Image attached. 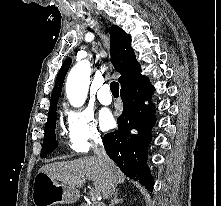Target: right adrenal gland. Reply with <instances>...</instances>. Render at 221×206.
Instances as JSON below:
<instances>
[{
	"instance_id": "1",
	"label": "right adrenal gland",
	"mask_w": 221,
	"mask_h": 206,
	"mask_svg": "<svg viewBox=\"0 0 221 206\" xmlns=\"http://www.w3.org/2000/svg\"><path fill=\"white\" fill-rule=\"evenodd\" d=\"M123 201H124V199L119 197V191H116L115 197H114L110 206H115L119 203H122Z\"/></svg>"
}]
</instances>
